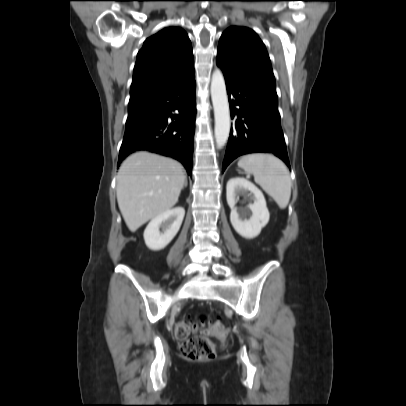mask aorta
Here are the masks:
<instances>
[{
    "label": "aorta",
    "mask_w": 406,
    "mask_h": 406,
    "mask_svg": "<svg viewBox=\"0 0 406 406\" xmlns=\"http://www.w3.org/2000/svg\"><path fill=\"white\" fill-rule=\"evenodd\" d=\"M211 98L215 118V141L218 148L225 145L230 133V109L224 76L216 69L211 79Z\"/></svg>",
    "instance_id": "aorta-1"
}]
</instances>
